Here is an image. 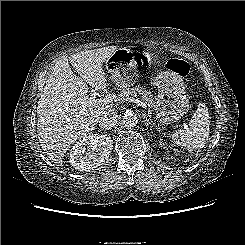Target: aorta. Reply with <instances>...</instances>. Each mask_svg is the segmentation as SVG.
Segmentation results:
<instances>
[{
    "instance_id": "aorta-1",
    "label": "aorta",
    "mask_w": 245,
    "mask_h": 245,
    "mask_svg": "<svg viewBox=\"0 0 245 245\" xmlns=\"http://www.w3.org/2000/svg\"><path fill=\"white\" fill-rule=\"evenodd\" d=\"M123 125L128 128L135 127L138 123V118L133 112L126 113L122 119Z\"/></svg>"
}]
</instances>
